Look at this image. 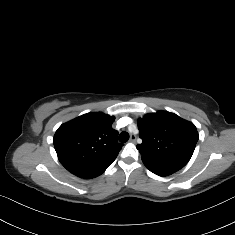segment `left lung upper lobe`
Instances as JSON below:
<instances>
[{
  "label": "left lung upper lobe",
  "instance_id": "5c2ea615",
  "mask_svg": "<svg viewBox=\"0 0 235 235\" xmlns=\"http://www.w3.org/2000/svg\"><path fill=\"white\" fill-rule=\"evenodd\" d=\"M142 143L137 149L144 157L185 166L198 141V132L192 122L174 113L158 111L138 119Z\"/></svg>",
  "mask_w": 235,
  "mask_h": 235
}]
</instances>
